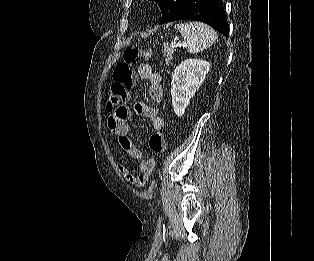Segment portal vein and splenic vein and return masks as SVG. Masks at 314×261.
<instances>
[{
    "label": "portal vein and splenic vein",
    "mask_w": 314,
    "mask_h": 261,
    "mask_svg": "<svg viewBox=\"0 0 314 261\" xmlns=\"http://www.w3.org/2000/svg\"><path fill=\"white\" fill-rule=\"evenodd\" d=\"M187 45L188 44L186 43H181V42L176 43V41L172 42V47H181V46L186 47Z\"/></svg>",
    "instance_id": "obj_1"
}]
</instances>
